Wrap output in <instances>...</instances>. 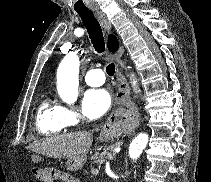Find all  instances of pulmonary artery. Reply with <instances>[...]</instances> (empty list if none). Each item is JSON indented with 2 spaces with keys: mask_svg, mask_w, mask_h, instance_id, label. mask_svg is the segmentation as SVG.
<instances>
[{
  "mask_svg": "<svg viewBox=\"0 0 211 182\" xmlns=\"http://www.w3.org/2000/svg\"><path fill=\"white\" fill-rule=\"evenodd\" d=\"M105 81V75L102 69H91L85 75V82L89 86H100Z\"/></svg>",
  "mask_w": 211,
  "mask_h": 182,
  "instance_id": "1",
  "label": "pulmonary artery"
}]
</instances>
